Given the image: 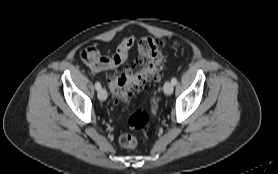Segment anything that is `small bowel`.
<instances>
[{"label":"small bowel","instance_id":"obj_1","mask_svg":"<svg viewBox=\"0 0 278 174\" xmlns=\"http://www.w3.org/2000/svg\"><path fill=\"white\" fill-rule=\"evenodd\" d=\"M134 41V36H125L118 44L115 54L109 57H102L95 46H90L81 52V59L94 73L116 69L128 61Z\"/></svg>","mask_w":278,"mask_h":174}]
</instances>
